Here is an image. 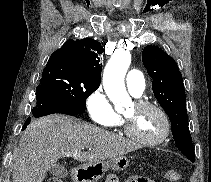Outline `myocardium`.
Instances as JSON below:
<instances>
[{
    "label": "myocardium",
    "instance_id": "obj_1",
    "mask_svg": "<svg viewBox=\"0 0 211 182\" xmlns=\"http://www.w3.org/2000/svg\"><path fill=\"white\" fill-rule=\"evenodd\" d=\"M135 105L138 108H152L156 110L163 120L164 128L158 137L154 139H143L133 131L130 120L124 115L123 124L126 135L137 143L145 146H156L163 143L169 137L171 132V122L165 110L160 105L148 100H137Z\"/></svg>",
    "mask_w": 211,
    "mask_h": 182
}]
</instances>
